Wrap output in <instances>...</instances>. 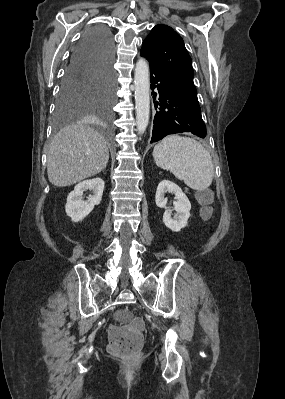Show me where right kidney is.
Masks as SVG:
<instances>
[{
  "mask_svg": "<svg viewBox=\"0 0 285 399\" xmlns=\"http://www.w3.org/2000/svg\"><path fill=\"white\" fill-rule=\"evenodd\" d=\"M92 190L93 195H90L86 201L83 200L84 191ZM104 190V181L101 178H94L85 180L75 186L67 197L65 206L66 214L73 222L82 221L94 208L99 205L102 199Z\"/></svg>",
  "mask_w": 285,
  "mask_h": 399,
  "instance_id": "ca27d5eb",
  "label": "right kidney"
}]
</instances>
